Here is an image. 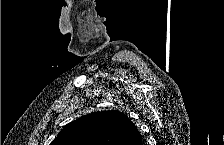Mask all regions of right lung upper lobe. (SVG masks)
Here are the masks:
<instances>
[{
	"label": "right lung upper lobe",
	"mask_w": 224,
	"mask_h": 145,
	"mask_svg": "<svg viewBox=\"0 0 224 145\" xmlns=\"http://www.w3.org/2000/svg\"><path fill=\"white\" fill-rule=\"evenodd\" d=\"M50 145H142V136L124 113L110 110L70 122Z\"/></svg>",
	"instance_id": "1"
}]
</instances>
